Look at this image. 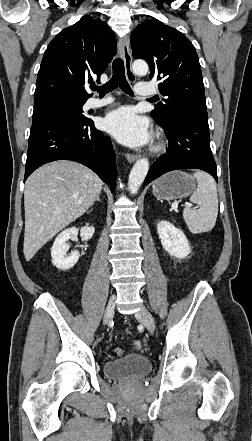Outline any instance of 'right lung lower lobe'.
<instances>
[{"instance_id":"obj_1","label":"right lung lower lobe","mask_w":252,"mask_h":441,"mask_svg":"<svg viewBox=\"0 0 252 441\" xmlns=\"http://www.w3.org/2000/svg\"><path fill=\"white\" fill-rule=\"evenodd\" d=\"M62 159L82 163L112 191L115 189L116 156L111 140L94 127L91 119L72 121L46 117L33 120L24 181L41 165Z\"/></svg>"}]
</instances>
